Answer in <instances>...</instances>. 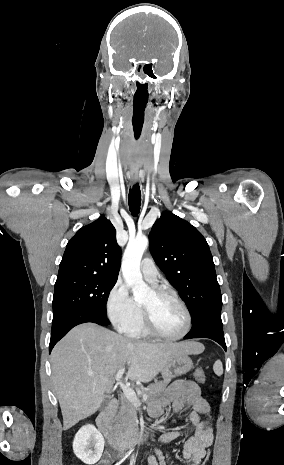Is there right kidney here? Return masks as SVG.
Returning <instances> with one entry per match:
<instances>
[{"label": "right kidney", "mask_w": 284, "mask_h": 465, "mask_svg": "<svg viewBox=\"0 0 284 465\" xmlns=\"http://www.w3.org/2000/svg\"><path fill=\"white\" fill-rule=\"evenodd\" d=\"M104 443L103 435L96 427L85 425L75 435L73 451L86 465H95L101 459Z\"/></svg>", "instance_id": "obj_1"}]
</instances>
